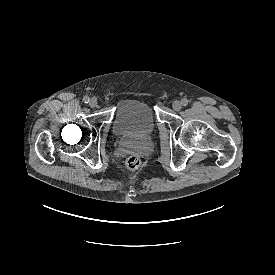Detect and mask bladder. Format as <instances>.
Segmentation results:
<instances>
[{
  "instance_id": "31cf9c89",
  "label": "bladder",
  "mask_w": 275,
  "mask_h": 275,
  "mask_svg": "<svg viewBox=\"0 0 275 275\" xmlns=\"http://www.w3.org/2000/svg\"><path fill=\"white\" fill-rule=\"evenodd\" d=\"M156 118L149 104L139 98H125L117 106L111 121L112 133L117 138L144 137L156 129Z\"/></svg>"
}]
</instances>
